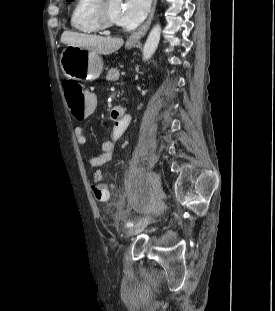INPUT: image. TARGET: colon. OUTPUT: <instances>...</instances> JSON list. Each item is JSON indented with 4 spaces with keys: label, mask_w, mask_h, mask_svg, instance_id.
<instances>
[{
    "label": "colon",
    "mask_w": 275,
    "mask_h": 311,
    "mask_svg": "<svg viewBox=\"0 0 275 311\" xmlns=\"http://www.w3.org/2000/svg\"><path fill=\"white\" fill-rule=\"evenodd\" d=\"M68 107L75 121H88L96 107V93L87 92L82 85L74 81L65 84ZM94 197L101 202L109 200V190L99 174H95L92 182Z\"/></svg>",
    "instance_id": "obj_1"
}]
</instances>
